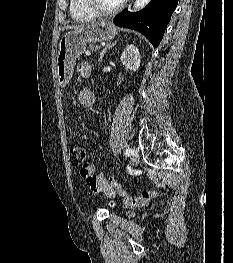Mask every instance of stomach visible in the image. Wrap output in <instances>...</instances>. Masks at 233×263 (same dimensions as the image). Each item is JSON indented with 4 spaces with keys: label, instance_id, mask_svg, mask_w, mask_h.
Here are the masks:
<instances>
[{
    "label": "stomach",
    "instance_id": "1",
    "mask_svg": "<svg viewBox=\"0 0 233 263\" xmlns=\"http://www.w3.org/2000/svg\"><path fill=\"white\" fill-rule=\"evenodd\" d=\"M117 33V28L108 21H100L65 33L59 42L56 63L59 86L64 87L68 84L76 59L84 53L88 43L112 40Z\"/></svg>",
    "mask_w": 233,
    "mask_h": 263
}]
</instances>
